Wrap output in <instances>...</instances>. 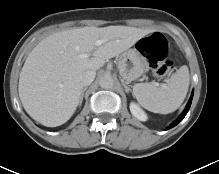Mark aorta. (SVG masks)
<instances>
[{
	"instance_id": "aorta-1",
	"label": "aorta",
	"mask_w": 219,
	"mask_h": 174,
	"mask_svg": "<svg viewBox=\"0 0 219 174\" xmlns=\"http://www.w3.org/2000/svg\"><path fill=\"white\" fill-rule=\"evenodd\" d=\"M100 87L110 89L114 86V80L111 76H104L99 81Z\"/></svg>"
}]
</instances>
